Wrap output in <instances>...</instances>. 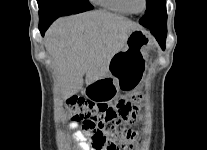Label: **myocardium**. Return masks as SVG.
<instances>
[{"instance_id":"f54148a6","label":"myocardium","mask_w":207,"mask_h":150,"mask_svg":"<svg viewBox=\"0 0 207 150\" xmlns=\"http://www.w3.org/2000/svg\"><path fill=\"white\" fill-rule=\"evenodd\" d=\"M124 1H125L126 5H127L128 9H129L133 14H142V13H144V12L146 11V9H147V0H143V8H142V10H140V11H137V10H135V9L133 8L131 0H124Z\"/></svg>"}]
</instances>
